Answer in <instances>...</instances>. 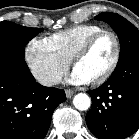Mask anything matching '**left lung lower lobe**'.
Here are the masks:
<instances>
[{"mask_svg":"<svg viewBox=\"0 0 139 139\" xmlns=\"http://www.w3.org/2000/svg\"><path fill=\"white\" fill-rule=\"evenodd\" d=\"M92 107L86 115L99 139H125L139 129V52L117 64L113 75L88 91Z\"/></svg>","mask_w":139,"mask_h":139,"instance_id":"0a47b994","label":"left lung lower lobe"}]
</instances>
